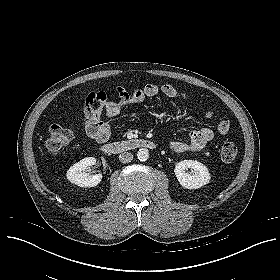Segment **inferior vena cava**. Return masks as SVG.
Returning a JSON list of instances; mask_svg holds the SVG:
<instances>
[{
    "instance_id": "602c4592",
    "label": "inferior vena cava",
    "mask_w": 280,
    "mask_h": 280,
    "mask_svg": "<svg viewBox=\"0 0 280 280\" xmlns=\"http://www.w3.org/2000/svg\"><path fill=\"white\" fill-rule=\"evenodd\" d=\"M133 160V155L130 152H123L119 155V161L121 163H129Z\"/></svg>"
}]
</instances>
